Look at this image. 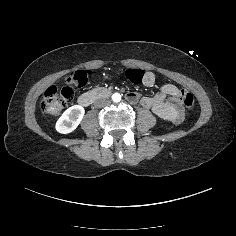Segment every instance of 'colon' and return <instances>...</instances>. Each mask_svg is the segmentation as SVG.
<instances>
[{
	"mask_svg": "<svg viewBox=\"0 0 236 236\" xmlns=\"http://www.w3.org/2000/svg\"><path fill=\"white\" fill-rule=\"evenodd\" d=\"M89 76V71H74L67 77L68 86H64L62 88H58L56 86L50 87L41 101L42 111L51 116L59 115L73 98L72 87H82L86 85L88 83ZM126 77L130 82L138 84L147 76L141 69H127ZM179 96L181 103L187 109H191L193 107L194 96L190 92L182 90L180 91Z\"/></svg>",
	"mask_w": 236,
	"mask_h": 236,
	"instance_id": "1",
	"label": "colon"
}]
</instances>
